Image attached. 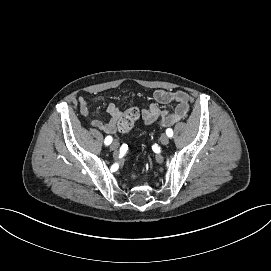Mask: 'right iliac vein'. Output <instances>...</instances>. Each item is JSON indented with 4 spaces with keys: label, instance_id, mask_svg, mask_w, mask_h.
<instances>
[{
    "label": "right iliac vein",
    "instance_id": "right-iliac-vein-1",
    "mask_svg": "<svg viewBox=\"0 0 271 271\" xmlns=\"http://www.w3.org/2000/svg\"><path fill=\"white\" fill-rule=\"evenodd\" d=\"M118 148H119V142L116 141V140H114V141L112 142L111 146H110V149L113 150V151H115V150H117Z\"/></svg>",
    "mask_w": 271,
    "mask_h": 271
}]
</instances>
